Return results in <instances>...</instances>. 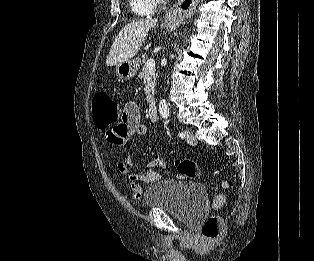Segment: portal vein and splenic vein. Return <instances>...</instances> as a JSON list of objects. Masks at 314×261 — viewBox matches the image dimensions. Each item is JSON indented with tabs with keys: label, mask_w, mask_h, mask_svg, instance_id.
I'll return each instance as SVG.
<instances>
[{
	"label": "portal vein and splenic vein",
	"mask_w": 314,
	"mask_h": 261,
	"mask_svg": "<svg viewBox=\"0 0 314 261\" xmlns=\"http://www.w3.org/2000/svg\"><path fill=\"white\" fill-rule=\"evenodd\" d=\"M145 67L149 70H153L155 67V61L153 59H150L146 62Z\"/></svg>",
	"instance_id": "1"
}]
</instances>
